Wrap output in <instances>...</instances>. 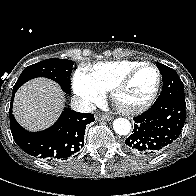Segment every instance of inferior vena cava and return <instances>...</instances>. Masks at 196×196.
I'll return each mask as SVG.
<instances>
[{"mask_svg":"<svg viewBox=\"0 0 196 196\" xmlns=\"http://www.w3.org/2000/svg\"><path fill=\"white\" fill-rule=\"evenodd\" d=\"M71 108L82 113L92 112L96 109L95 105L90 101L76 96L71 100Z\"/></svg>","mask_w":196,"mask_h":196,"instance_id":"602c4592","label":"inferior vena cava"}]
</instances>
